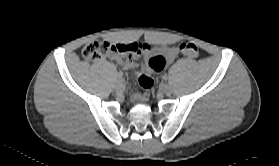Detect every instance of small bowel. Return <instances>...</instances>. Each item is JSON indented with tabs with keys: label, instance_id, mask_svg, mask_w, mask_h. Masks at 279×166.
<instances>
[{
	"label": "small bowel",
	"instance_id": "small-bowel-1",
	"mask_svg": "<svg viewBox=\"0 0 279 166\" xmlns=\"http://www.w3.org/2000/svg\"><path fill=\"white\" fill-rule=\"evenodd\" d=\"M142 52L146 54H152L159 56L161 58V65L159 68H157L155 71H162L168 64L172 63L175 58L177 57L178 51L175 47H170V46H162L158 49L152 48L148 44H144ZM135 57L138 54H134ZM108 57L113 60H118L120 61L124 68L127 70L134 69L137 67V62L135 61V57H129L127 59H123L122 56H117L114 54H109Z\"/></svg>",
	"mask_w": 279,
	"mask_h": 166
}]
</instances>
